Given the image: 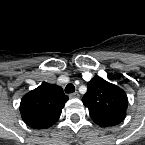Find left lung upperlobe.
Instances as JSON below:
<instances>
[{
  "label": "left lung upper lobe",
  "mask_w": 145,
  "mask_h": 145,
  "mask_svg": "<svg viewBox=\"0 0 145 145\" xmlns=\"http://www.w3.org/2000/svg\"><path fill=\"white\" fill-rule=\"evenodd\" d=\"M88 91L82 102L89 109L92 120L101 127L121 123L126 116L128 99L118 86L95 76L88 82Z\"/></svg>",
  "instance_id": "left-lung-upper-lobe-1"
}]
</instances>
